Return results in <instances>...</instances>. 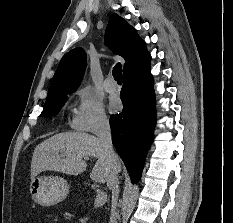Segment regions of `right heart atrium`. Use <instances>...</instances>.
Here are the masks:
<instances>
[{"instance_id":"d8ad5b80","label":"right heart atrium","mask_w":233,"mask_h":223,"mask_svg":"<svg viewBox=\"0 0 233 223\" xmlns=\"http://www.w3.org/2000/svg\"><path fill=\"white\" fill-rule=\"evenodd\" d=\"M78 97L79 103L71 118V127L94 133L108 129L110 122L102 102L87 89H80Z\"/></svg>"}]
</instances>
